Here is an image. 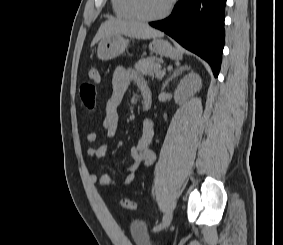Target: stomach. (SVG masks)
<instances>
[{
  "label": "stomach",
  "instance_id": "stomach-1",
  "mask_svg": "<svg viewBox=\"0 0 283 245\" xmlns=\"http://www.w3.org/2000/svg\"><path fill=\"white\" fill-rule=\"evenodd\" d=\"M129 45V40L120 34H112L104 37L97 48V57L100 60L107 61L123 54ZM149 48L152 52L170 57L174 60H180L182 53L174 48L168 41L155 38Z\"/></svg>",
  "mask_w": 283,
  "mask_h": 245
}]
</instances>
